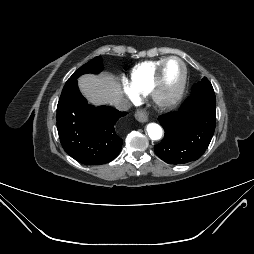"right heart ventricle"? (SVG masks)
<instances>
[{"mask_svg": "<svg viewBox=\"0 0 254 254\" xmlns=\"http://www.w3.org/2000/svg\"><path fill=\"white\" fill-rule=\"evenodd\" d=\"M164 58L146 61L136 65L130 74V86L138 94L149 93L155 73Z\"/></svg>", "mask_w": 254, "mask_h": 254, "instance_id": "obj_1", "label": "right heart ventricle"}]
</instances>
